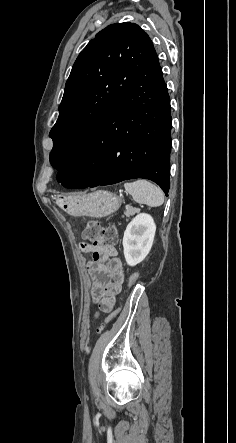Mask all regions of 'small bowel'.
Listing matches in <instances>:
<instances>
[{
    "mask_svg": "<svg viewBox=\"0 0 236 443\" xmlns=\"http://www.w3.org/2000/svg\"><path fill=\"white\" fill-rule=\"evenodd\" d=\"M86 251L92 253L93 260L88 263V270L93 277L91 294L99 309L103 312L113 310L116 295L126 278V272L116 249L111 245H88Z\"/></svg>",
    "mask_w": 236,
    "mask_h": 443,
    "instance_id": "c3829d8e",
    "label": "small bowel"
}]
</instances>
